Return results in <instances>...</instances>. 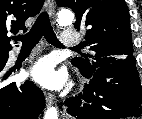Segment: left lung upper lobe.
<instances>
[{
    "mask_svg": "<svg viewBox=\"0 0 142 119\" xmlns=\"http://www.w3.org/2000/svg\"><path fill=\"white\" fill-rule=\"evenodd\" d=\"M57 5L74 11L77 30L86 28L84 45L90 46L93 55L72 59L80 72H92L116 62L136 63L125 0H57Z\"/></svg>",
    "mask_w": 142,
    "mask_h": 119,
    "instance_id": "5c2ea615",
    "label": "left lung upper lobe"
}]
</instances>
